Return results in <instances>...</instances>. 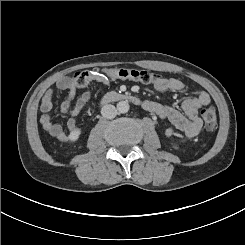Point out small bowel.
<instances>
[{
  "mask_svg": "<svg viewBox=\"0 0 245 245\" xmlns=\"http://www.w3.org/2000/svg\"><path fill=\"white\" fill-rule=\"evenodd\" d=\"M100 80H105L102 78ZM57 89L68 91L67 97L61 102V111L67 116V128L66 132L60 124L54 123L50 117V111L52 109V100L54 96V90L52 88L47 89L42 97L40 110V123L43 129L48 132L52 137L59 141H68L70 135H79L81 133L80 128L76 124L75 117L81 112L86 103L90 99V91L85 90L73 103L76 85L73 79L69 77H62L55 83ZM153 87L157 91L171 90L179 92L184 90V83L176 78H159ZM210 95L205 91H199L194 96L183 100L181 107L183 113L177 109L162 105L156 102H146L145 108L157 115L159 118L166 120L169 126L165 130V135L168 138H175V130L181 131V135L178 137L180 142H186L198 135L202 128V120L198 115V111L202 106L210 103Z\"/></svg>",
  "mask_w": 245,
  "mask_h": 245,
  "instance_id": "c3829d8e",
  "label": "small bowel"
}]
</instances>
